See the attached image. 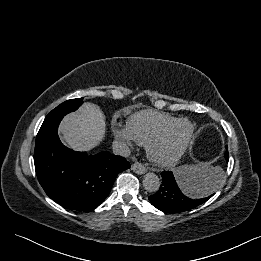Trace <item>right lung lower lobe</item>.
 I'll list each match as a JSON object with an SVG mask.
<instances>
[{
  "label": "right lung lower lobe",
  "mask_w": 261,
  "mask_h": 261,
  "mask_svg": "<svg viewBox=\"0 0 261 261\" xmlns=\"http://www.w3.org/2000/svg\"><path fill=\"white\" fill-rule=\"evenodd\" d=\"M64 116L45 118L35 143L37 178L46 194L58 204L78 211H90L108 196L118 173L129 162L107 151L96 155L65 147L57 134Z\"/></svg>",
  "instance_id": "1"
}]
</instances>
